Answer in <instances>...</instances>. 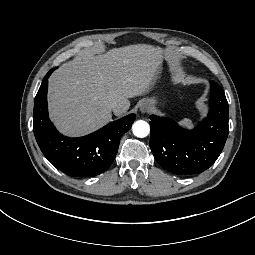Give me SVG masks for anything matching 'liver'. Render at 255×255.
<instances>
[{
    "label": "liver",
    "mask_w": 255,
    "mask_h": 255,
    "mask_svg": "<svg viewBox=\"0 0 255 255\" xmlns=\"http://www.w3.org/2000/svg\"><path fill=\"white\" fill-rule=\"evenodd\" d=\"M159 48L148 45L113 49L103 56L80 55L66 63L50 79L52 119L71 135L97 129L112 118L111 104L122 105L145 96L156 87L163 71Z\"/></svg>",
    "instance_id": "obj_1"
}]
</instances>
